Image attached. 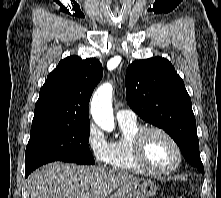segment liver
Segmentation results:
<instances>
[{
  "label": "liver",
  "mask_w": 221,
  "mask_h": 198,
  "mask_svg": "<svg viewBox=\"0 0 221 198\" xmlns=\"http://www.w3.org/2000/svg\"><path fill=\"white\" fill-rule=\"evenodd\" d=\"M136 179L128 172L53 162L28 178L30 198H107Z\"/></svg>",
  "instance_id": "liver-1"
}]
</instances>
